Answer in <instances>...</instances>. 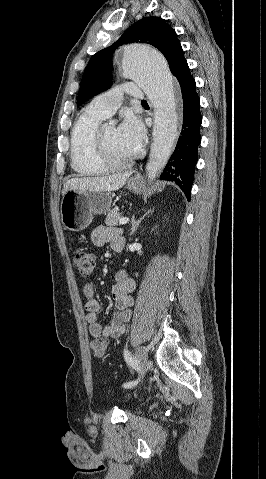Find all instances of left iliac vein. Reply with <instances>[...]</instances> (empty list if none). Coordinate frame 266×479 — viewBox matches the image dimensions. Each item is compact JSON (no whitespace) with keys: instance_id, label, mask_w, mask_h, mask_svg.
<instances>
[{"instance_id":"obj_1","label":"left iliac vein","mask_w":266,"mask_h":479,"mask_svg":"<svg viewBox=\"0 0 266 479\" xmlns=\"http://www.w3.org/2000/svg\"><path fill=\"white\" fill-rule=\"evenodd\" d=\"M136 356H137V359H138V364L140 366V374H139V377H143L146 370H147V365H148V354L146 352V350H144L143 348L139 347L136 351Z\"/></svg>"}]
</instances>
